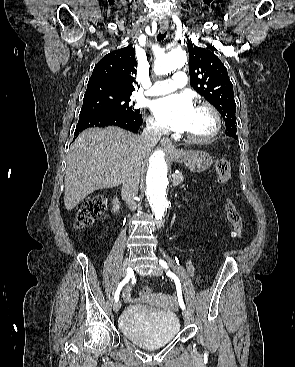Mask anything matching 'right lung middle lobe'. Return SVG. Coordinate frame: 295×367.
<instances>
[{
	"label": "right lung middle lobe",
	"instance_id": "1",
	"mask_svg": "<svg viewBox=\"0 0 295 367\" xmlns=\"http://www.w3.org/2000/svg\"><path fill=\"white\" fill-rule=\"evenodd\" d=\"M131 94H121L107 89H88L85 92L80 116L87 114H137Z\"/></svg>",
	"mask_w": 295,
	"mask_h": 367
}]
</instances>
